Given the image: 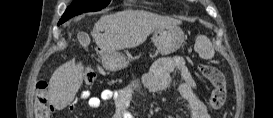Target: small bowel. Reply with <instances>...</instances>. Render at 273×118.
I'll list each match as a JSON object with an SVG mask.
<instances>
[{
  "label": "small bowel",
  "mask_w": 273,
  "mask_h": 118,
  "mask_svg": "<svg viewBox=\"0 0 273 118\" xmlns=\"http://www.w3.org/2000/svg\"><path fill=\"white\" fill-rule=\"evenodd\" d=\"M179 75L176 83L177 90L187 104L184 109L189 118H209L207 106L198 96L195 80L187 67L186 61L180 56L162 57L154 62L149 72L144 75L141 81L128 85L121 90L105 89L98 95H92L89 91H83L81 98L87 101L92 109L99 108L104 102L114 103V118H132L130 101L133 90L146 91L149 93H160L164 91ZM73 109V106H70Z\"/></svg>",
  "instance_id": "obj_1"
}]
</instances>
